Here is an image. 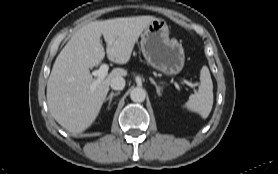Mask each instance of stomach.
<instances>
[{"label":"stomach","instance_id":"obj_1","mask_svg":"<svg viewBox=\"0 0 278 174\" xmlns=\"http://www.w3.org/2000/svg\"><path fill=\"white\" fill-rule=\"evenodd\" d=\"M141 51L149 65L167 76L177 75L184 67V49L177 39L170 37L163 19L157 18L145 28Z\"/></svg>","mask_w":278,"mask_h":174}]
</instances>
